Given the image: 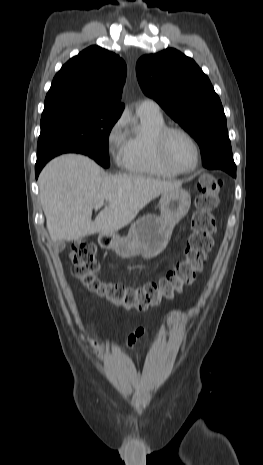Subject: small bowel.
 Segmentation results:
<instances>
[{"label":"small bowel","instance_id":"c3829d8e","mask_svg":"<svg viewBox=\"0 0 263 465\" xmlns=\"http://www.w3.org/2000/svg\"><path fill=\"white\" fill-rule=\"evenodd\" d=\"M190 313L192 315H196L197 314V309H195V308L191 309ZM146 332H147L146 328L139 327L136 330H134L131 334H129V336L127 337V342H126V346H127L128 350H131L134 347L137 340L140 337H142Z\"/></svg>","mask_w":263,"mask_h":465}]
</instances>
